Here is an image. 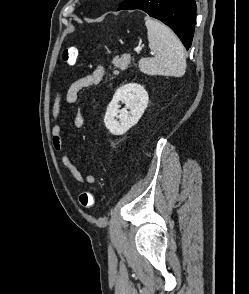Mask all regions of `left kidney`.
Returning <instances> with one entry per match:
<instances>
[{"instance_id": "obj_1", "label": "left kidney", "mask_w": 249, "mask_h": 294, "mask_svg": "<svg viewBox=\"0 0 249 294\" xmlns=\"http://www.w3.org/2000/svg\"><path fill=\"white\" fill-rule=\"evenodd\" d=\"M120 101L125 103V107L122 109L118 105ZM148 102V93L143 86L136 83L123 85L117 89L107 107L104 117L106 128L113 135L124 134L138 123Z\"/></svg>"}]
</instances>
